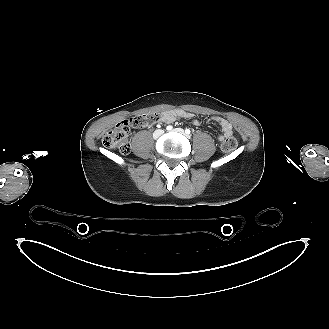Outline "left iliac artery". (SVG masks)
<instances>
[{
  "mask_svg": "<svg viewBox=\"0 0 329 329\" xmlns=\"http://www.w3.org/2000/svg\"><path fill=\"white\" fill-rule=\"evenodd\" d=\"M185 133H186L187 135H189V134L191 133V131H190L189 129H186V130H185Z\"/></svg>",
  "mask_w": 329,
  "mask_h": 329,
  "instance_id": "1",
  "label": "left iliac artery"
}]
</instances>
